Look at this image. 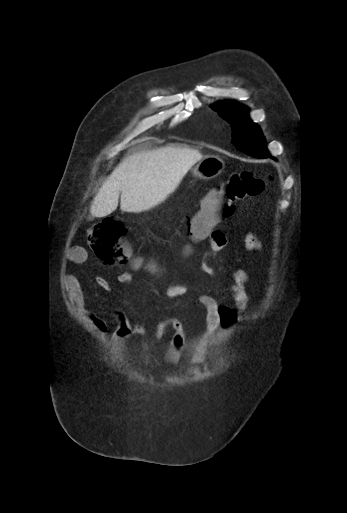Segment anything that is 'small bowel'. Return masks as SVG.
<instances>
[{
    "label": "small bowel",
    "mask_w": 347,
    "mask_h": 513,
    "mask_svg": "<svg viewBox=\"0 0 347 513\" xmlns=\"http://www.w3.org/2000/svg\"><path fill=\"white\" fill-rule=\"evenodd\" d=\"M203 239L208 240L210 244V248L205 255L203 271L211 276L217 275L218 268L214 261L218 253L226 247L228 243L227 235L223 229L216 228ZM245 246L252 252L260 251L262 248L261 241L254 232L246 234ZM86 258V251L81 247H75L69 252L68 262L82 263L86 261ZM139 269L140 263L137 262L131 270L118 275L119 282L123 284L130 283L133 272ZM96 283L105 290L109 289L108 282L101 277L96 279ZM248 283L249 277L243 269L236 268L232 270L227 291L234 302V307L221 305L210 294L199 295L198 302L205 310L206 326L203 337L209 336L219 327H230L238 321L240 312L248 307ZM63 285L69 304L78 319L99 333L106 334L108 332V322L97 313L86 308L84 293L79 280L74 275L66 272L63 276ZM189 290V285L184 282H172L167 287V294L176 298L185 296ZM114 320L116 328L112 337L115 341L125 342L130 338H137L145 343H154L169 336L167 346L163 352V360L174 365L187 354L185 328L178 319L169 318L150 327L143 322L130 320L122 312H117L114 315ZM187 355L191 364H199L203 358V352L199 349H195Z\"/></svg>",
    "instance_id": "obj_1"
}]
</instances>
